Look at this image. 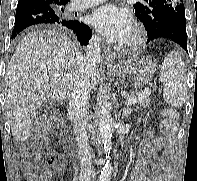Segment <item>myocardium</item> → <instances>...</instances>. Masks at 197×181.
<instances>
[{
	"label": "myocardium",
	"mask_w": 197,
	"mask_h": 181,
	"mask_svg": "<svg viewBox=\"0 0 197 181\" xmlns=\"http://www.w3.org/2000/svg\"><path fill=\"white\" fill-rule=\"evenodd\" d=\"M145 42V33L140 26H134L128 39L121 43V48L127 50H136Z\"/></svg>",
	"instance_id": "1"
}]
</instances>
